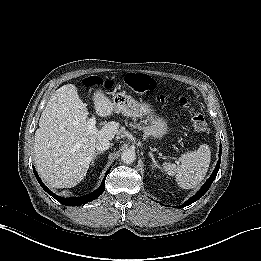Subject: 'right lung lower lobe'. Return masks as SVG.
<instances>
[{"label": "right lung lower lobe", "instance_id": "1", "mask_svg": "<svg viewBox=\"0 0 261 261\" xmlns=\"http://www.w3.org/2000/svg\"><path fill=\"white\" fill-rule=\"evenodd\" d=\"M34 169V174L38 180V182L40 183L41 187L51 196H53V198H55L57 201H59L61 204L63 205H67V206H80L82 204L88 203L93 201L94 199L98 198L105 190V179L108 175V173L110 172V169L107 171L101 186L94 192H92L89 195H85L83 197H78V198H62L56 194H54L52 191H50L41 181V179L39 178L35 168Z\"/></svg>", "mask_w": 261, "mask_h": 261}]
</instances>
